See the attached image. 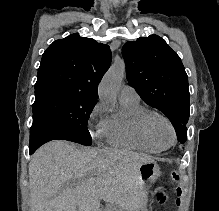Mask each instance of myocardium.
Listing matches in <instances>:
<instances>
[{
  "mask_svg": "<svg viewBox=\"0 0 219 211\" xmlns=\"http://www.w3.org/2000/svg\"><path fill=\"white\" fill-rule=\"evenodd\" d=\"M158 121L165 122L171 129V132L173 135V141L168 146H162L156 138L154 128H155V124ZM142 126H143V130H144V133L147 136V138L153 144H155L158 148L168 149L176 143L177 135H176L175 127H174L172 121L168 117H166L165 115L157 113V112H150L144 117L143 122H142Z\"/></svg>",
  "mask_w": 219,
  "mask_h": 211,
  "instance_id": "1",
  "label": "myocardium"
}]
</instances>
